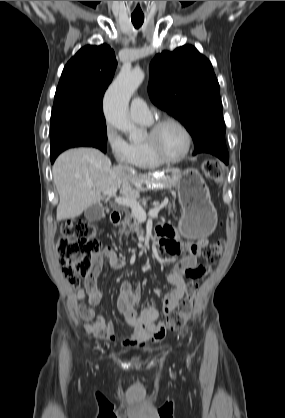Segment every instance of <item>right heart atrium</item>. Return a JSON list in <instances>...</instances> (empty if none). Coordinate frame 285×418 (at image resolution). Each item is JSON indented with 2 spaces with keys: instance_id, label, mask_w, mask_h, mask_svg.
Returning a JSON list of instances; mask_svg holds the SVG:
<instances>
[{
  "instance_id": "obj_1",
  "label": "right heart atrium",
  "mask_w": 285,
  "mask_h": 418,
  "mask_svg": "<svg viewBox=\"0 0 285 418\" xmlns=\"http://www.w3.org/2000/svg\"><path fill=\"white\" fill-rule=\"evenodd\" d=\"M104 142L115 161L120 165L133 164L131 149L123 137L111 126L104 131Z\"/></svg>"
}]
</instances>
